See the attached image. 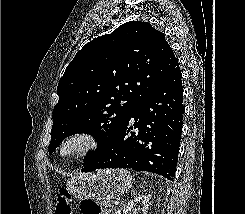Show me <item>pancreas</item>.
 <instances>
[{"label": "pancreas", "mask_w": 245, "mask_h": 214, "mask_svg": "<svg viewBox=\"0 0 245 214\" xmlns=\"http://www.w3.org/2000/svg\"><path fill=\"white\" fill-rule=\"evenodd\" d=\"M112 203H113V201H110V202L104 201L103 202L104 205H111Z\"/></svg>", "instance_id": "obj_1"}]
</instances>
